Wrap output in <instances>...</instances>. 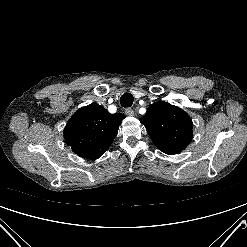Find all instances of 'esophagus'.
<instances>
[{
  "label": "esophagus",
  "instance_id": "1",
  "mask_svg": "<svg viewBox=\"0 0 247 247\" xmlns=\"http://www.w3.org/2000/svg\"><path fill=\"white\" fill-rule=\"evenodd\" d=\"M125 114H126L127 116H133V115H134V110L131 109V108H127V109L125 110Z\"/></svg>",
  "mask_w": 247,
  "mask_h": 247
}]
</instances>
